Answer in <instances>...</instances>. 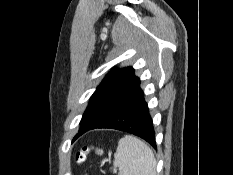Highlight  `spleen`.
I'll return each instance as SVG.
<instances>
[{"mask_svg": "<svg viewBox=\"0 0 233 175\" xmlns=\"http://www.w3.org/2000/svg\"><path fill=\"white\" fill-rule=\"evenodd\" d=\"M113 164L119 169L118 175H156L153 151L143 141L131 135L119 140Z\"/></svg>", "mask_w": 233, "mask_h": 175, "instance_id": "obj_1", "label": "spleen"}]
</instances>
